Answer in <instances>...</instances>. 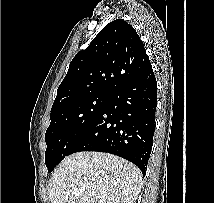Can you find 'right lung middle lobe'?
<instances>
[{
  "mask_svg": "<svg viewBox=\"0 0 214 203\" xmlns=\"http://www.w3.org/2000/svg\"><path fill=\"white\" fill-rule=\"evenodd\" d=\"M108 97V93H94L51 110V122L45 134L48 172L69 155L102 111Z\"/></svg>",
  "mask_w": 214,
  "mask_h": 203,
  "instance_id": "1",
  "label": "right lung middle lobe"
}]
</instances>
